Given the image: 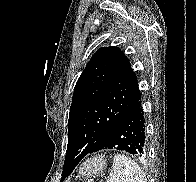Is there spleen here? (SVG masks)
I'll return each instance as SVG.
<instances>
[{"label":"spleen","instance_id":"1","mask_svg":"<svg viewBox=\"0 0 196 182\" xmlns=\"http://www.w3.org/2000/svg\"><path fill=\"white\" fill-rule=\"evenodd\" d=\"M107 182H146L142 169L128 156L116 154Z\"/></svg>","mask_w":196,"mask_h":182}]
</instances>
